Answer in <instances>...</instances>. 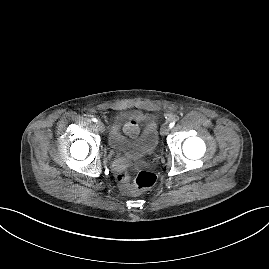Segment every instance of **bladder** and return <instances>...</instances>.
Returning <instances> with one entry per match:
<instances>
[{"label":"bladder","mask_w":269,"mask_h":269,"mask_svg":"<svg viewBox=\"0 0 269 269\" xmlns=\"http://www.w3.org/2000/svg\"><path fill=\"white\" fill-rule=\"evenodd\" d=\"M131 119L139 121V128L136 135L127 136L122 132V126ZM158 141V128L155 121L132 112L118 114L108 133L109 147L117 155L136 158L149 156L156 150Z\"/></svg>","instance_id":"obj_1"}]
</instances>
